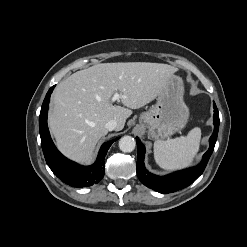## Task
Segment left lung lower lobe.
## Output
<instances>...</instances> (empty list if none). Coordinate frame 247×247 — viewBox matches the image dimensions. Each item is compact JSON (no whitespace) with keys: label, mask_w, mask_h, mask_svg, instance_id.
I'll list each match as a JSON object with an SVG mask.
<instances>
[{"label":"left lung lower lobe","mask_w":247,"mask_h":247,"mask_svg":"<svg viewBox=\"0 0 247 247\" xmlns=\"http://www.w3.org/2000/svg\"><path fill=\"white\" fill-rule=\"evenodd\" d=\"M214 132L210 137V147L208 151L204 154L202 161L196 167L175 172L163 177L151 174L148 172L144 166V155L145 147L140 142L138 138L137 148H138V159H137V175L139 180L147 187L160 192V193H170L181 188H184L194 182L204 171L208 160L213 152L219 128V113L217 107L214 103Z\"/></svg>","instance_id":"1"}]
</instances>
